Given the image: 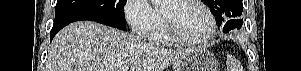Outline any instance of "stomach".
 Returning a JSON list of instances; mask_svg holds the SVG:
<instances>
[{"label":"stomach","mask_w":301,"mask_h":71,"mask_svg":"<svg viewBox=\"0 0 301 71\" xmlns=\"http://www.w3.org/2000/svg\"><path fill=\"white\" fill-rule=\"evenodd\" d=\"M173 71H218V62L207 49L196 48L175 61Z\"/></svg>","instance_id":"0dacf381"}]
</instances>
